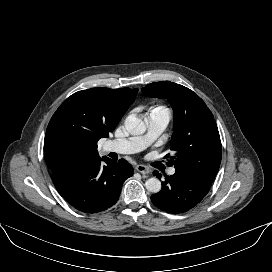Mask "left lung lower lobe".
<instances>
[{
  "label": "left lung lower lobe",
  "instance_id": "left-lung-lower-lobe-1",
  "mask_svg": "<svg viewBox=\"0 0 272 272\" xmlns=\"http://www.w3.org/2000/svg\"><path fill=\"white\" fill-rule=\"evenodd\" d=\"M158 178L161 174L153 172ZM212 180L176 169L175 174L165 176L162 189L151 196L153 204L169 213H184L195 207L208 193Z\"/></svg>",
  "mask_w": 272,
  "mask_h": 272
}]
</instances>
